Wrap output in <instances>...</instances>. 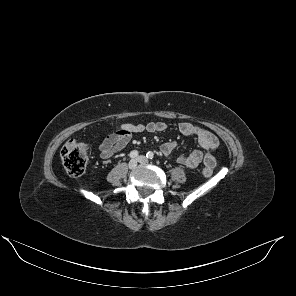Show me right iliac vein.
I'll list each match as a JSON object with an SVG mask.
<instances>
[{"label":"right iliac vein","mask_w":296,"mask_h":296,"mask_svg":"<svg viewBox=\"0 0 296 296\" xmlns=\"http://www.w3.org/2000/svg\"><path fill=\"white\" fill-rule=\"evenodd\" d=\"M128 167L131 170L135 169L137 167V160L135 159L130 160L128 163Z\"/></svg>","instance_id":"right-iliac-vein-1"}]
</instances>
